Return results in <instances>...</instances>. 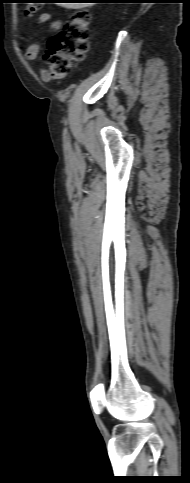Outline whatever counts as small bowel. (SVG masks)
Returning a JSON list of instances; mask_svg holds the SVG:
<instances>
[{
  "label": "small bowel",
  "mask_w": 190,
  "mask_h": 483,
  "mask_svg": "<svg viewBox=\"0 0 190 483\" xmlns=\"http://www.w3.org/2000/svg\"><path fill=\"white\" fill-rule=\"evenodd\" d=\"M39 23L46 26L48 29L52 31H57L61 27V22L59 20L52 19L49 13H43L39 17ZM40 51V46L38 43H31L26 48V58L29 60H34L38 57ZM42 79L47 81L49 80L48 75L46 74L45 70L42 72Z\"/></svg>",
  "instance_id": "obj_1"
}]
</instances>
